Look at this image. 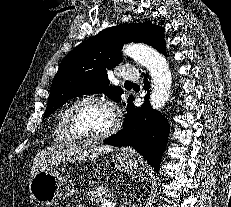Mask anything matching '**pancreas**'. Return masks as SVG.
<instances>
[{"label":"pancreas","instance_id":"1","mask_svg":"<svg viewBox=\"0 0 231 207\" xmlns=\"http://www.w3.org/2000/svg\"><path fill=\"white\" fill-rule=\"evenodd\" d=\"M111 197V190L106 186L94 187L86 193L85 200L92 203H99Z\"/></svg>","mask_w":231,"mask_h":207}]
</instances>
